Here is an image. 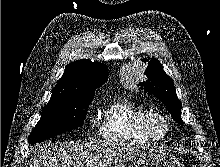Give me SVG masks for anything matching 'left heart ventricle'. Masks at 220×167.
Listing matches in <instances>:
<instances>
[{"label": "left heart ventricle", "mask_w": 220, "mask_h": 167, "mask_svg": "<svg viewBox=\"0 0 220 167\" xmlns=\"http://www.w3.org/2000/svg\"><path fill=\"white\" fill-rule=\"evenodd\" d=\"M156 130H157L159 133H162V132H163V126L160 125V124H158V125L156 126Z\"/></svg>", "instance_id": "obj_1"}]
</instances>
